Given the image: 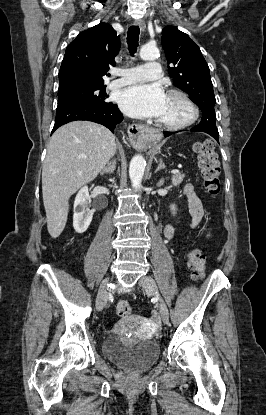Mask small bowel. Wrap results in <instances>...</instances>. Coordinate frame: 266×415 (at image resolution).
I'll return each mask as SVG.
<instances>
[{
  "label": "small bowel",
  "mask_w": 266,
  "mask_h": 415,
  "mask_svg": "<svg viewBox=\"0 0 266 415\" xmlns=\"http://www.w3.org/2000/svg\"><path fill=\"white\" fill-rule=\"evenodd\" d=\"M183 191L187 199L188 210L191 216V226L196 227L199 225L204 215L202 202L197 197L190 184H186ZM174 232V227L171 224L165 226L164 235L168 240L173 238Z\"/></svg>",
  "instance_id": "c3829d8e"
}]
</instances>
